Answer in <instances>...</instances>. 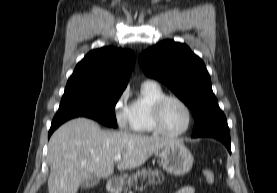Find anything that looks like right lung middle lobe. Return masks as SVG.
I'll use <instances>...</instances> for the list:
<instances>
[{
  "instance_id": "right-lung-middle-lobe-1",
  "label": "right lung middle lobe",
  "mask_w": 277,
  "mask_h": 193,
  "mask_svg": "<svg viewBox=\"0 0 277 193\" xmlns=\"http://www.w3.org/2000/svg\"><path fill=\"white\" fill-rule=\"evenodd\" d=\"M123 91L90 88L65 89L55 117H88L116 127L115 105Z\"/></svg>"
}]
</instances>
